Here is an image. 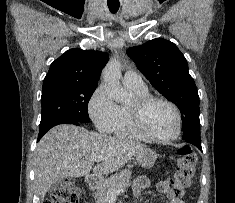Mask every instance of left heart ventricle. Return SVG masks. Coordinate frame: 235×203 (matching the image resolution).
Listing matches in <instances>:
<instances>
[{
    "mask_svg": "<svg viewBox=\"0 0 235 203\" xmlns=\"http://www.w3.org/2000/svg\"><path fill=\"white\" fill-rule=\"evenodd\" d=\"M143 123L146 130L156 137H169L176 130L175 113L163 102L152 103L144 110Z\"/></svg>",
    "mask_w": 235,
    "mask_h": 203,
    "instance_id": "obj_1",
    "label": "left heart ventricle"
}]
</instances>
